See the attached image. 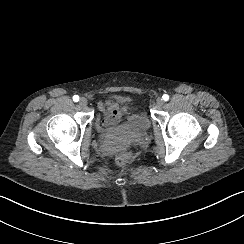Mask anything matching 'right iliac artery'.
<instances>
[{"label":"right iliac artery","instance_id":"obj_1","mask_svg":"<svg viewBox=\"0 0 244 244\" xmlns=\"http://www.w3.org/2000/svg\"><path fill=\"white\" fill-rule=\"evenodd\" d=\"M73 101L74 102H78L79 101V96L78 95H74L73 96Z\"/></svg>","mask_w":244,"mask_h":244}]
</instances>
